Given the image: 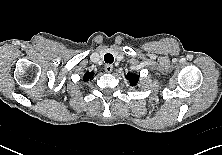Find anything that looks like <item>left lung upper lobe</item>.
Returning a JSON list of instances; mask_svg holds the SVG:
<instances>
[{
	"label": "left lung upper lobe",
	"mask_w": 222,
	"mask_h": 155,
	"mask_svg": "<svg viewBox=\"0 0 222 155\" xmlns=\"http://www.w3.org/2000/svg\"><path fill=\"white\" fill-rule=\"evenodd\" d=\"M125 77L130 82L131 86H136L139 81V75L134 73H128Z\"/></svg>",
	"instance_id": "obj_1"
}]
</instances>
